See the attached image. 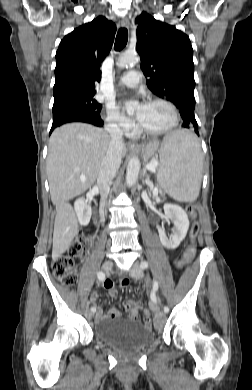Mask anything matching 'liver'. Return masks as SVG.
Here are the masks:
<instances>
[{
    "instance_id": "obj_1",
    "label": "liver",
    "mask_w": 252,
    "mask_h": 390,
    "mask_svg": "<svg viewBox=\"0 0 252 390\" xmlns=\"http://www.w3.org/2000/svg\"><path fill=\"white\" fill-rule=\"evenodd\" d=\"M109 143L110 136L105 130L85 123L63 125L50 137L46 164L51 200L56 206L54 260L69 249L79 228L68 201L93 186ZM126 153L123 145L121 157Z\"/></svg>"
}]
</instances>
